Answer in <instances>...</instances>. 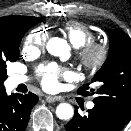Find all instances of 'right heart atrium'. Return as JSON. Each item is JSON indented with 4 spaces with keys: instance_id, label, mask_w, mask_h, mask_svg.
<instances>
[{
    "instance_id": "right-heart-atrium-1",
    "label": "right heart atrium",
    "mask_w": 131,
    "mask_h": 131,
    "mask_svg": "<svg viewBox=\"0 0 131 131\" xmlns=\"http://www.w3.org/2000/svg\"><path fill=\"white\" fill-rule=\"evenodd\" d=\"M48 33L45 29L36 28L30 31L23 41V52L25 55H36L46 45Z\"/></svg>"
}]
</instances>
